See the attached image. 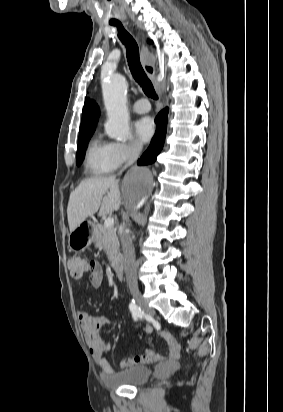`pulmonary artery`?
I'll use <instances>...</instances> for the list:
<instances>
[{
	"label": "pulmonary artery",
	"instance_id": "obj_1",
	"mask_svg": "<svg viewBox=\"0 0 283 412\" xmlns=\"http://www.w3.org/2000/svg\"><path fill=\"white\" fill-rule=\"evenodd\" d=\"M133 109L138 114H144L150 110V104L145 98H141L135 102Z\"/></svg>",
	"mask_w": 283,
	"mask_h": 412
}]
</instances>
